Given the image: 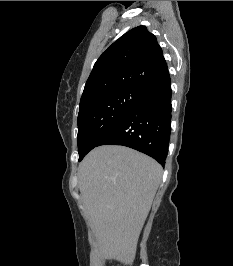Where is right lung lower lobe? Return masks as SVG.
<instances>
[{
	"label": "right lung lower lobe",
	"mask_w": 233,
	"mask_h": 266,
	"mask_svg": "<svg viewBox=\"0 0 233 266\" xmlns=\"http://www.w3.org/2000/svg\"><path fill=\"white\" fill-rule=\"evenodd\" d=\"M171 85L169 73L148 87L96 146L123 145L143 152L162 166L168 153L171 133ZM83 157L79 158L81 161Z\"/></svg>",
	"instance_id": "right-lung-lower-lobe-1"
}]
</instances>
